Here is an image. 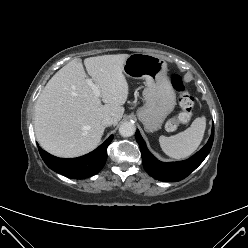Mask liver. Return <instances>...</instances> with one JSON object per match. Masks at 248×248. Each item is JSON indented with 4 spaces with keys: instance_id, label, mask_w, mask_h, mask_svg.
Returning a JSON list of instances; mask_svg holds the SVG:
<instances>
[{
    "instance_id": "liver-1",
    "label": "liver",
    "mask_w": 248,
    "mask_h": 248,
    "mask_svg": "<svg viewBox=\"0 0 248 248\" xmlns=\"http://www.w3.org/2000/svg\"><path fill=\"white\" fill-rule=\"evenodd\" d=\"M128 57L103 55L84 60L88 75L100 89L99 98L86 83L80 58L70 61L49 80L37 99L34 118L35 135L44 150L71 158L98 146L105 130L102 119L111 116L117 124L123 116L129 94L123 66Z\"/></svg>"
}]
</instances>
